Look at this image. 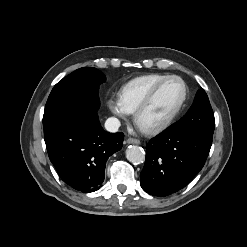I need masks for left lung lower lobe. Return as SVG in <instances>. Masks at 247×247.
Here are the masks:
<instances>
[{"instance_id": "left-lung-lower-lobe-1", "label": "left lung lower lobe", "mask_w": 247, "mask_h": 247, "mask_svg": "<svg viewBox=\"0 0 247 247\" xmlns=\"http://www.w3.org/2000/svg\"><path fill=\"white\" fill-rule=\"evenodd\" d=\"M212 137L206 133L182 132L172 125L151 139L140 174L143 190L165 197L184 188L204 166Z\"/></svg>"}]
</instances>
